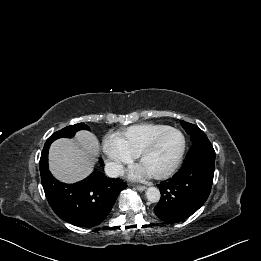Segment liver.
Masks as SVG:
<instances>
[{
    "instance_id": "obj_1",
    "label": "liver",
    "mask_w": 261,
    "mask_h": 261,
    "mask_svg": "<svg viewBox=\"0 0 261 261\" xmlns=\"http://www.w3.org/2000/svg\"><path fill=\"white\" fill-rule=\"evenodd\" d=\"M99 141L88 131H79L75 140L61 138L49 149V168L60 181L74 183L86 178L99 154Z\"/></svg>"
}]
</instances>
